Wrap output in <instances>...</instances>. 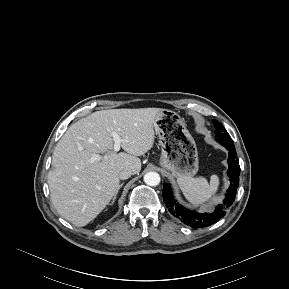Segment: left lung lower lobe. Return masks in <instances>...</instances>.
Segmentation results:
<instances>
[{
    "label": "left lung lower lobe",
    "instance_id": "0a47b994",
    "mask_svg": "<svg viewBox=\"0 0 289 289\" xmlns=\"http://www.w3.org/2000/svg\"><path fill=\"white\" fill-rule=\"evenodd\" d=\"M222 145L229 151V168L227 173L230 178V186L225 194L223 202L217 205L212 212L198 213L183 207L173 198V193L169 184H164L163 186V200L166 203L169 212L192 228H203L216 223L226 214V210L235 200L237 188L239 186V161L236 159L237 154L232 142H226Z\"/></svg>",
    "mask_w": 289,
    "mask_h": 289
}]
</instances>
